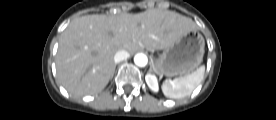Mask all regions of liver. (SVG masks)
I'll use <instances>...</instances> for the list:
<instances>
[{
	"label": "liver",
	"mask_w": 276,
	"mask_h": 120,
	"mask_svg": "<svg viewBox=\"0 0 276 120\" xmlns=\"http://www.w3.org/2000/svg\"><path fill=\"white\" fill-rule=\"evenodd\" d=\"M196 28L190 18L162 9L76 18L59 40L58 81L72 95H96L112 76L117 51L163 50Z\"/></svg>",
	"instance_id": "6515ba94"
}]
</instances>
